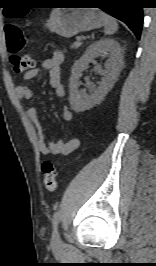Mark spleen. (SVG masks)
I'll use <instances>...</instances> for the list:
<instances>
[{"label":"spleen","instance_id":"3e777b00","mask_svg":"<svg viewBox=\"0 0 156 266\" xmlns=\"http://www.w3.org/2000/svg\"><path fill=\"white\" fill-rule=\"evenodd\" d=\"M103 18H104V32L106 35H112L118 30V24L116 20L111 17L110 15H107L103 13Z\"/></svg>","mask_w":156,"mask_h":266}]
</instances>
